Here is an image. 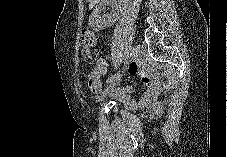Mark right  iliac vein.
Listing matches in <instances>:
<instances>
[{
	"mask_svg": "<svg viewBox=\"0 0 227 157\" xmlns=\"http://www.w3.org/2000/svg\"><path fill=\"white\" fill-rule=\"evenodd\" d=\"M140 52V48L138 46H134L130 57L132 60H136ZM120 83V77L118 76L116 79L112 80L110 85L104 90V92L98 97L97 103H100L104 97L110 92L111 89L115 88Z\"/></svg>",
	"mask_w": 227,
	"mask_h": 157,
	"instance_id": "obj_1",
	"label": "right iliac vein"
}]
</instances>
